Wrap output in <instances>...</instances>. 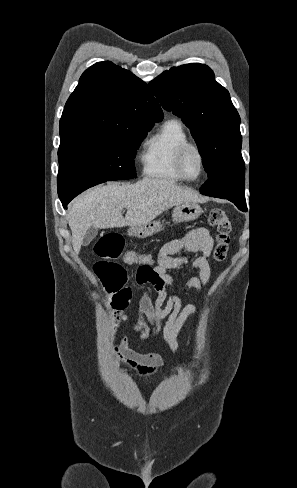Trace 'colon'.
Segmentation results:
<instances>
[{"label":"colon","instance_id":"colon-1","mask_svg":"<svg viewBox=\"0 0 297 488\" xmlns=\"http://www.w3.org/2000/svg\"><path fill=\"white\" fill-rule=\"evenodd\" d=\"M208 221L217 231L213 258L217 262H221L226 258L230 245L232 222L226 213L218 208L210 211ZM94 250L96 255L101 258L94 264V272L109 294L112 323L117 326L120 313L128 305L132 294V289L128 285L129 278L126 269L115 261L122 254V237L117 233L104 234L97 241ZM141 259L142 263L138 265L133 277L134 284L137 286L148 281L154 263V257L150 254H144Z\"/></svg>","mask_w":297,"mask_h":488}]
</instances>
